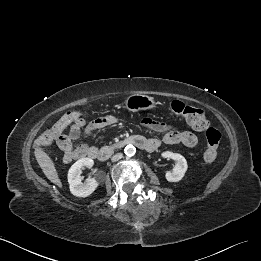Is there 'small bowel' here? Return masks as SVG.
Listing matches in <instances>:
<instances>
[{
    "label": "small bowel",
    "instance_id": "c3829d8e",
    "mask_svg": "<svg viewBox=\"0 0 261 261\" xmlns=\"http://www.w3.org/2000/svg\"><path fill=\"white\" fill-rule=\"evenodd\" d=\"M117 118L112 115L97 118L91 122L84 130V136L90 137L97 130L111 126L117 123ZM144 127L163 133L161 139L152 138L150 140L157 144V147L161 144L167 145H182L186 148H194L198 144V138L195 134L188 131H178L176 128L169 126L163 122L153 121L146 118L142 121ZM73 140V139H72ZM72 140L65 144H59L64 151L63 161L69 163L72 160L83 158L89 156L90 152L97 151L98 149L94 146H89L87 144L73 145ZM92 158V157H91Z\"/></svg>",
    "mask_w": 261,
    "mask_h": 261
}]
</instances>
